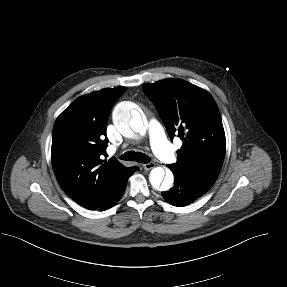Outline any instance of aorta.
Masks as SVG:
<instances>
[{
    "instance_id": "1",
    "label": "aorta",
    "mask_w": 287,
    "mask_h": 287,
    "mask_svg": "<svg viewBox=\"0 0 287 287\" xmlns=\"http://www.w3.org/2000/svg\"><path fill=\"white\" fill-rule=\"evenodd\" d=\"M113 122L120 131L131 129L140 135H144L146 132L140 112L125 104L118 105L114 109ZM149 180L155 189L168 191L173 185L174 176L170 171L165 175V170L162 167H156L151 170Z\"/></svg>"
}]
</instances>
